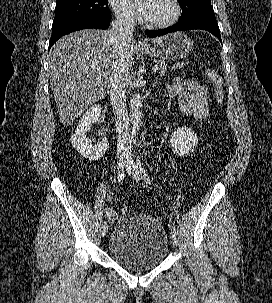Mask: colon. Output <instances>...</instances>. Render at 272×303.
<instances>
[{
  "label": "colon",
  "mask_w": 272,
  "mask_h": 303,
  "mask_svg": "<svg viewBox=\"0 0 272 303\" xmlns=\"http://www.w3.org/2000/svg\"><path fill=\"white\" fill-rule=\"evenodd\" d=\"M188 65H189V62L187 60H182V59L176 60L171 65V71L174 73H179V72L183 71L184 69H186L188 67ZM205 73L212 80V82L214 84L215 100H216L217 104L221 106L224 102V90H223V85H222V79L216 72H214L212 70H206ZM121 211L123 213H126L127 207L122 206Z\"/></svg>",
  "instance_id": "obj_1"
}]
</instances>
